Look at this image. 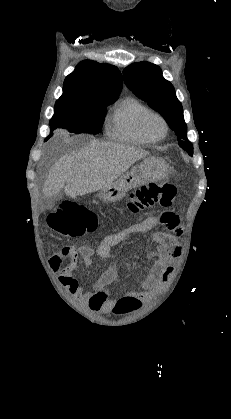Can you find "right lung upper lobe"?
I'll list each match as a JSON object with an SVG mask.
<instances>
[{
    "label": "right lung upper lobe",
    "instance_id": "cb5924a9",
    "mask_svg": "<svg viewBox=\"0 0 231 419\" xmlns=\"http://www.w3.org/2000/svg\"><path fill=\"white\" fill-rule=\"evenodd\" d=\"M117 67L91 60L81 61L64 80L60 98L75 100L116 99L123 87Z\"/></svg>",
    "mask_w": 231,
    "mask_h": 419
}]
</instances>
